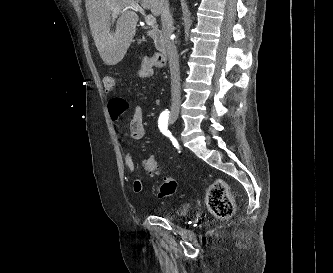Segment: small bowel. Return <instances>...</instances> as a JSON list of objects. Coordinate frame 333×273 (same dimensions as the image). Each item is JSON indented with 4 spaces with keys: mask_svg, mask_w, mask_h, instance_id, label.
I'll use <instances>...</instances> for the list:
<instances>
[{
    "mask_svg": "<svg viewBox=\"0 0 333 273\" xmlns=\"http://www.w3.org/2000/svg\"><path fill=\"white\" fill-rule=\"evenodd\" d=\"M145 58L143 62L140 63V70L137 71L138 77H152L155 63L154 62H144L145 60L149 59ZM105 86L106 81H105ZM108 110L111 116V119L115 125V128L117 130H120V118L122 114H128V103L124 101L123 96H112L111 101L108 104ZM129 135L134 140H141L145 136V126L143 121V109L140 104H136L134 106L133 114L129 122ZM120 141L122 144H124V162L127 167V169L130 172H134L136 169L135 161L128 150V148L125 146V139L124 137L120 136ZM148 159H154L152 157ZM133 191L136 193H140L144 189L143 181L140 178H136L133 181L132 184Z\"/></svg>",
    "mask_w": 333,
    "mask_h": 273,
    "instance_id": "1",
    "label": "small bowel"
}]
</instances>
